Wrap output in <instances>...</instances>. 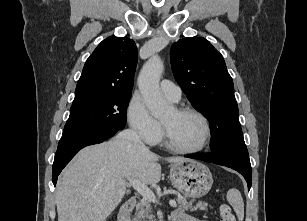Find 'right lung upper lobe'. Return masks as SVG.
Segmentation results:
<instances>
[{"label":"right lung upper lobe","mask_w":307,"mask_h":221,"mask_svg":"<svg viewBox=\"0 0 307 221\" xmlns=\"http://www.w3.org/2000/svg\"><path fill=\"white\" fill-rule=\"evenodd\" d=\"M137 64L135 42L110 36L87 59L73 102L111 93H132Z\"/></svg>","instance_id":"cb5924a9"}]
</instances>
